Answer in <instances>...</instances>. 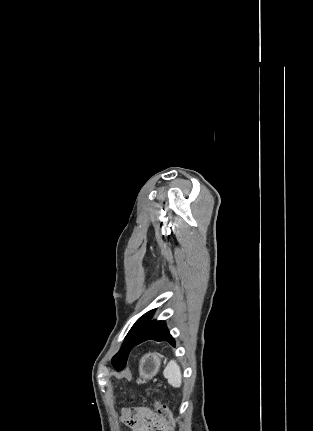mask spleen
Returning a JSON list of instances; mask_svg holds the SVG:
<instances>
[{
	"label": "spleen",
	"mask_w": 313,
	"mask_h": 431,
	"mask_svg": "<svg viewBox=\"0 0 313 431\" xmlns=\"http://www.w3.org/2000/svg\"><path fill=\"white\" fill-rule=\"evenodd\" d=\"M164 377L168 380V383L173 387H180L182 383V376L179 365L175 360H171L166 368L164 369Z\"/></svg>",
	"instance_id": "3e777b00"
}]
</instances>
